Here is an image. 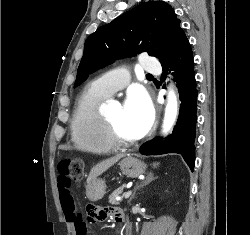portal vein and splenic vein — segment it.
<instances>
[{"label":"portal vein and splenic vein","instance_id":"18ae733b","mask_svg":"<svg viewBox=\"0 0 250 235\" xmlns=\"http://www.w3.org/2000/svg\"><path fill=\"white\" fill-rule=\"evenodd\" d=\"M131 194H132V191H128V192H126V193L124 194V197H125V198H129ZM116 200H117V201L121 200V197H117Z\"/></svg>","mask_w":250,"mask_h":235}]
</instances>
